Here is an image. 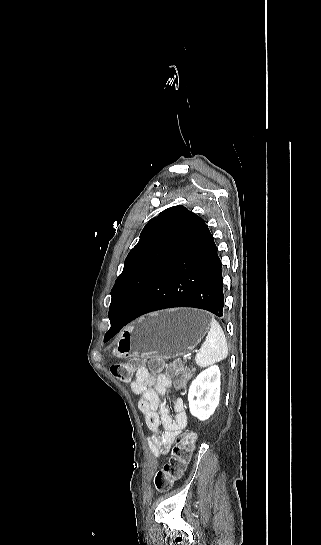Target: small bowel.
<instances>
[{"label":"small bowel","instance_id":"small-bowel-1","mask_svg":"<svg viewBox=\"0 0 321 545\" xmlns=\"http://www.w3.org/2000/svg\"><path fill=\"white\" fill-rule=\"evenodd\" d=\"M171 383L172 379L167 373L153 374L147 367L141 366L131 384L132 391L139 396L138 408L151 431L148 443L156 458L169 452L175 438L188 423L183 399L174 401L173 414L161 399Z\"/></svg>","mask_w":321,"mask_h":545}]
</instances>
